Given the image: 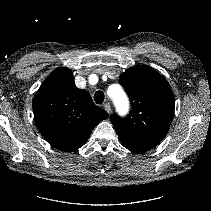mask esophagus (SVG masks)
I'll return each instance as SVG.
<instances>
[{
    "mask_svg": "<svg viewBox=\"0 0 211 211\" xmlns=\"http://www.w3.org/2000/svg\"><path fill=\"white\" fill-rule=\"evenodd\" d=\"M104 109H105L106 112H108L110 114V112H111V105H110V103H105L104 104Z\"/></svg>",
    "mask_w": 211,
    "mask_h": 211,
    "instance_id": "esophagus-1",
    "label": "esophagus"
}]
</instances>
